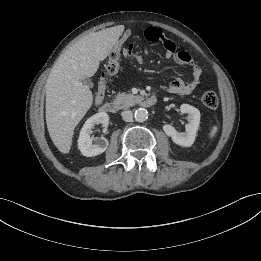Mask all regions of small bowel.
Returning <instances> with one entry per match:
<instances>
[{
    "label": "small bowel",
    "instance_id": "obj_1",
    "mask_svg": "<svg viewBox=\"0 0 261 261\" xmlns=\"http://www.w3.org/2000/svg\"><path fill=\"white\" fill-rule=\"evenodd\" d=\"M144 37L150 42H161L165 49V56L172 58L175 63L179 65L190 66L193 69L192 78L186 82L182 78H174L170 84L166 87V90L170 93L188 95L198 85L201 69L198 67L192 58V56L185 50H181L177 47L175 42L166 36L162 30L156 27H148L144 30ZM125 54L132 53V46L124 49ZM105 97V91H98L95 97V103L100 104Z\"/></svg>",
    "mask_w": 261,
    "mask_h": 261
}]
</instances>
